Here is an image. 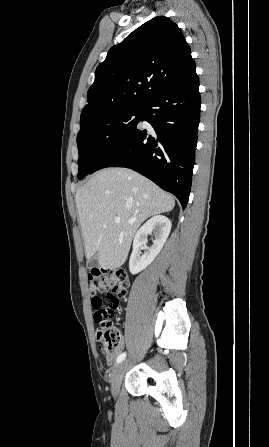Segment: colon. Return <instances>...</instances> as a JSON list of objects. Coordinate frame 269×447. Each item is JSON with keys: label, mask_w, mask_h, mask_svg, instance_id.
<instances>
[{"label": "colon", "mask_w": 269, "mask_h": 447, "mask_svg": "<svg viewBox=\"0 0 269 447\" xmlns=\"http://www.w3.org/2000/svg\"><path fill=\"white\" fill-rule=\"evenodd\" d=\"M87 285L89 293L94 295L91 301L95 308L92 317L98 322L96 338L103 353H112L121 345L122 333L115 328L111 316L127 298V281L120 272L105 273L99 266H92ZM97 295H105L107 299Z\"/></svg>", "instance_id": "1"}]
</instances>
